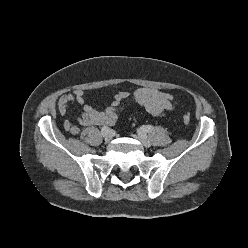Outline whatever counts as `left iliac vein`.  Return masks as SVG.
I'll return each instance as SVG.
<instances>
[{"label": "left iliac vein", "instance_id": "1", "mask_svg": "<svg viewBox=\"0 0 248 248\" xmlns=\"http://www.w3.org/2000/svg\"><path fill=\"white\" fill-rule=\"evenodd\" d=\"M134 137L137 138L143 144V146L147 148L151 146V141L142 132H139L137 135H134Z\"/></svg>", "mask_w": 248, "mask_h": 248}]
</instances>
